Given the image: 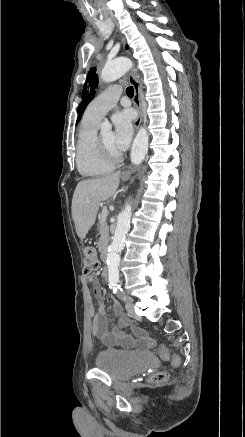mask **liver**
<instances>
[{"label":"liver","mask_w":245,"mask_h":437,"mask_svg":"<svg viewBox=\"0 0 245 437\" xmlns=\"http://www.w3.org/2000/svg\"><path fill=\"white\" fill-rule=\"evenodd\" d=\"M120 172L80 181L72 198V218L78 237L83 240L94 225L99 205L108 200L117 190Z\"/></svg>","instance_id":"1"}]
</instances>
